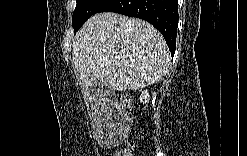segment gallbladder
Returning a JSON list of instances; mask_svg holds the SVG:
<instances>
[{
	"mask_svg": "<svg viewBox=\"0 0 247 156\" xmlns=\"http://www.w3.org/2000/svg\"><path fill=\"white\" fill-rule=\"evenodd\" d=\"M88 91L90 93H99L103 91L106 95H110L113 92V89L104 80L97 79L88 87Z\"/></svg>",
	"mask_w": 247,
	"mask_h": 156,
	"instance_id": "obj_1",
	"label": "gallbladder"
}]
</instances>
